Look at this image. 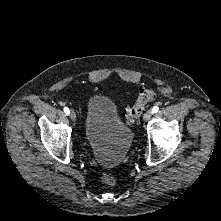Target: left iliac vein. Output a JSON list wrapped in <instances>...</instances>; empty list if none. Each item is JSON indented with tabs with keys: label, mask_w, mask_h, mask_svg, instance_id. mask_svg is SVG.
I'll list each match as a JSON object with an SVG mask.
<instances>
[{
	"label": "left iliac vein",
	"mask_w": 221,
	"mask_h": 221,
	"mask_svg": "<svg viewBox=\"0 0 221 221\" xmlns=\"http://www.w3.org/2000/svg\"><path fill=\"white\" fill-rule=\"evenodd\" d=\"M151 116H152V111H147L144 115H143V121L144 122H147V121H149L150 120V118H151Z\"/></svg>",
	"instance_id": "1"
}]
</instances>
